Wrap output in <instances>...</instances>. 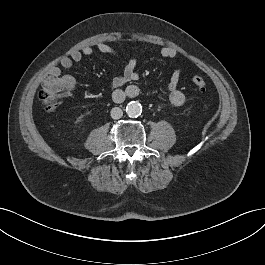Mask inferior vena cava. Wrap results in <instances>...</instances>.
I'll list each match as a JSON object with an SVG mask.
<instances>
[{"mask_svg": "<svg viewBox=\"0 0 265 265\" xmlns=\"http://www.w3.org/2000/svg\"><path fill=\"white\" fill-rule=\"evenodd\" d=\"M110 114L113 119H119L123 116V111L119 107H114L111 109Z\"/></svg>", "mask_w": 265, "mask_h": 265, "instance_id": "1", "label": "inferior vena cava"}]
</instances>
